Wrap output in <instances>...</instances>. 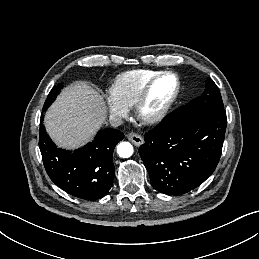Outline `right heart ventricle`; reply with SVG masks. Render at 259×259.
<instances>
[{"mask_svg":"<svg viewBox=\"0 0 259 259\" xmlns=\"http://www.w3.org/2000/svg\"><path fill=\"white\" fill-rule=\"evenodd\" d=\"M158 71L136 69L118 75L112 85L111 94L127 108L134 105L136 98L144 85L155 76Z\"/></svg>","mask_w":259,"mask_h":259,"instance_id":"e07e8e85","label":"right heart ventricle"}]
</instances>
